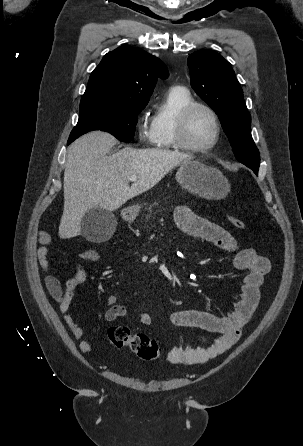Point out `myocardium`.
I'll list each match as a JSON object with an SVG mask.
<instances>
[{"instance_id":"myocardium-1","label":"myocardium","mask_w":303,"mask_h":446,"mask_svg":"<svg viewBox=\"0 0 303 446\" xmlns=\"http://www.w3.org/2000/svg\"><path fill=\"white\" fill-rule=\"evenodd\" d=\"M196 109L205 110L211 117L214 124V138L213 140L205 146H194L187 140V124L190 115ZM221 137V124L219 117L215 110L209 105L201 102H192L181 110L178 114L175 124V141L178 148L183 150L194 152V153H204L212 150L219 142Z\"/></svg>"}]
</instances>
